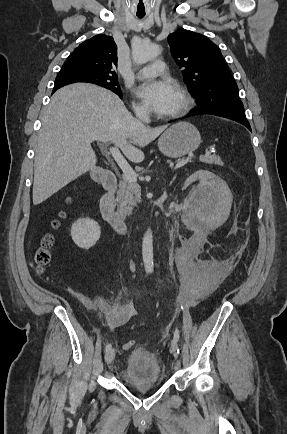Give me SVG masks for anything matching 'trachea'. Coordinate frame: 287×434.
<instances>
[{"label": "trachea", "mask_w": 287, "mask_h": 434, "mask_svg": "<svg viewBox=\"0 0 287 434\" xmlns=\"http://www.w3.org/2000/svg\"><path fill=\"white\" fill-rule=\"evenodd\" d=\"M137 16H138L139 18H143V17L145 16V14H137Z\"/></svg>", "instance_id": "1"}]
</instances>
